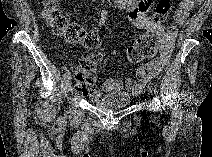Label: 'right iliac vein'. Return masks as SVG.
<instances>
[{"label":"right iliac vein","instance_id":"obj_1","mask_svg":"<svg viewBox=\"0 0 212 157\" xmlns=\"http://www.w3.org/2000/svg\"><path fill=\"white\" fill-rule=\"evenodd\" d=\"M65 90H66L67 93L71 90V81H70V79H67L65 81Z\"/></svg>","mask_w":212,"mask_h":157}]
</instances>
